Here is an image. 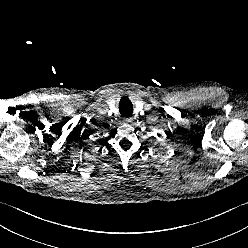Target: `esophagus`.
<instances>
[{
	"instance_id": "34e87169",
	"label": "esophagus",
	"mask_w": 248,
	"mask_h": 248,
	"mask_svg": "<svg viewBox=\"0 0 248 248\" xmlns=\"http://www.w3.org/2000/svg\"><path fill=\"white\" fill-rule=\"evenodd\" d=\"M123 121H124L125 123L129 124V123L132 122V118H130V117H125V118L123 119Z\"/></svg>"
}]
</instances>
